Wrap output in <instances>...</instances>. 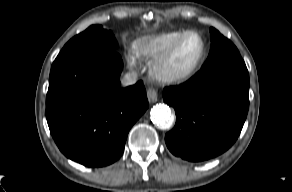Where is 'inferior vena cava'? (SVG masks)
Masks as SVG:
<instances>
[{"mask_svg": "<svg viewBox=\"0 0 292 192\" xmlns=\"http://www.w3.org/2000/svg\"><path fill=\"white\" fill-rule=\"evenodd\" d=\"M137 73L136 72H128L121 79V84L123 86L133 85L137 82Z\"/></svg>", "mask_w": 292, "mask_h": 192, "instance_id": "obj_1", "label": "inferior vena cava"}]
</instances>
